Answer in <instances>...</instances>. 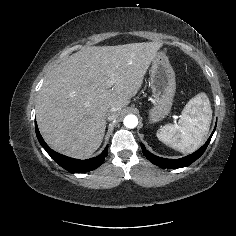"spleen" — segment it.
<instances>
[{
  "mask_svg": "<svg viewBox=\"0 0 236 236\" xmlns=\"http://www.w3.org/2000/svg\"><path fill=\"white\" fill-rule=\"evenodd\" d=\"M212 118L210 102L206 94L200 93L189 100L182 110L178 124H167L156 136L167 146L191 153L203 143Z\"/></svg>",
  "mask_w": 236,
  "mask_h": 236,
  "instance_id": "obj_1",
  "label": "spleen"
}]
</instances>
